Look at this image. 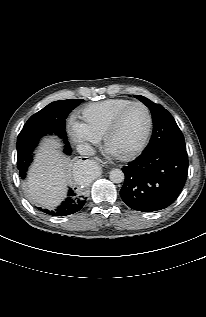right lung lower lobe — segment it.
<instances>
[{
  "mask_svg": "<svg viewBox=\"0 0 206 317\" xmlns=\"http://www.w3.org/2000/svg\"><path fill=\"white\" fill-rule=\"evenodd\" d=\"M65 144V152L69 154L71 152V148L67 141H65ZM85 203L86 198L81 193H77L75 190L69 189L67 198L54 211L46 209L43 210L41 208L38 209L53 216H66L79 211Z\"/></svg>",
  "mask_w": 206,
  "mask_h": 317,
  "instance_id": "98d812e1",
  "label": "right lung lower lobe"
}]
</instances>
